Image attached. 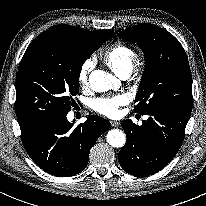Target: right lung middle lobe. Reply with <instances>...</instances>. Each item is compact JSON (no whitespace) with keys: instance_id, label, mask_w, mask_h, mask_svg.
<instances>
[{"instance_id":"dd1d6c3e","label":"right lung middle lobe","mask_w":206,"mask_h":206,"mask_svg":"<svg viewBox=\"0 0 206 206\" xmlns=\"http://www.w3.org/2000/svg\"><path fill=\"white\" fill-rule=\"evenodd\" d=\"M110 35L86 39L47 29L28 46L16 77V115L20 128L61 118L75 104L85 60Z\"/></svg>"}]
</instances>
